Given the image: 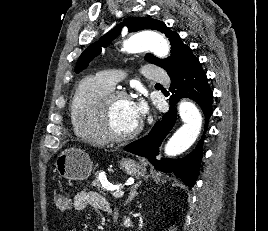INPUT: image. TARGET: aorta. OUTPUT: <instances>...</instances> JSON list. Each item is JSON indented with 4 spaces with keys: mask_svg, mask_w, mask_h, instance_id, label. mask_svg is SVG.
<instances>
[{
    "mask_svg": "<svg viewBox=\"0 0 268 231\" xmlns=\"http://www.w3.org/2000/svg\"><path fill=\"white\" fill-rule=\"evenodd\" d=\"M123 50L128 53H139L150 50L159 58L170 52L169 42L155 32L138 33L123 42ZM179 115L183 125L172 135L165 145L167 156H176L185 152L196 141L202 126V116L197 107L189 101L179 105Z\"/></svg>",
    "mask_w": 268,
    "mask_h": 231,
    "instance_id": "1",
    "label": "aorta"
}]
</instances>
